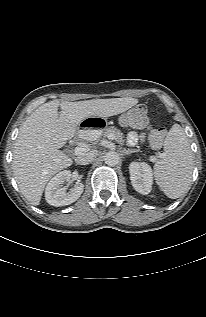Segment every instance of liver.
<instances>
[{"label":"liver","mask_w":206,"mask_h":317,"mask_svg":"<svg viewBox=\"0 0 206 317\" xmlns=\"http://www.w3.org/2000/svg\"><path fill=\"white\" fill-rule=\"evenodd\" d=\"M137 103L138 99L130 97L54 100L37 108L20 127L14 144L12 168L24 197L32 205H39L49 179L72 165L73 160L59 149L75 136L84 119L118 115Z\"/></svg>","instance_id":"liver-1"}]
</instances>
